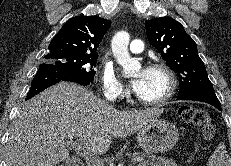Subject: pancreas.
<instances>
[{
    "label": "pancreas",
    "mask_w": 231,
    "mask_h": 166,
    "mask_svg": "<svg viewBox=\"0 0 231 166\" xmlns=\"http://www.w3.org/2000/svg\"><path fill=\"white\" fill-rule=\"evenodd\" d=\"M127 156H132V157H141L144 159L145 157L148 158V160L142 161L138 166H177L175 161L172 159H168L166 157H155V156H148L144 153L140 152H135V153H127ZM100 166H104L101 164Z\"/></svg>",
    "instance_id": "cf45deb5"
}]
</instances>
